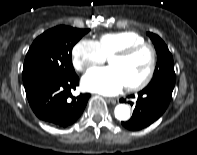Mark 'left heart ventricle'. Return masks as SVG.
I'll list each match as a JSON object with an SVG mask.
<instances>
[{
  "label": "left heart ventricle",
  "instance_id": "left-heart-ventricle-1",
  "mask_svg": "<svg viewBox=\"0 0 197 155\" xmlns=\"http://www.w3.org/2000/svg\"><path fill=\"white\" fill-rule=\"evenodd\" d=\"M109 64L120 72L126 85H130L139 82L146 75L150 66V55L143 50L127 58L112 57Z\"/></svg>",
  "mask_w": 197,
  "mask_h": 155
}]
</instances>
